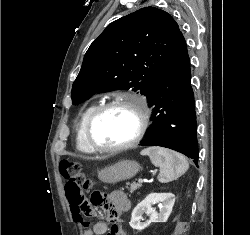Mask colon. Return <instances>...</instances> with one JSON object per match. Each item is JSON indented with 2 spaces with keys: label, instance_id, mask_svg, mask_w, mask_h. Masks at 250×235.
I'll return each instance as SVG.
<instances>
[{
  "label": "colon",
  "instance_id": "colon-1",
  "mask_svg": "<svg viewBox=\"0 0 250 235\" xmlns=\"http://www.w3.org/2000/svg\"><path fill=\"white\" fill-rule=\"evenodd\" d=\"M60 172L66 181V195L71 204H83L85 192H90L91 207L99 206L105 201L103 193L93 189L94 183L92 179L84 174L79 161L62 160L60 162Z\"/></svg>",
  "mask_w": 250,
  "mask_h": 235
}]
</instances>
